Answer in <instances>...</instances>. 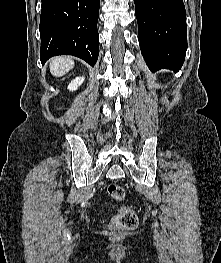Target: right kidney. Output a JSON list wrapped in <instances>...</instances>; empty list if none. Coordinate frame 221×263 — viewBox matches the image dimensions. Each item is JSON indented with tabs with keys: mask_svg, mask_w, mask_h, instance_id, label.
<instances>
[{
	"mask_svg": "<svg viewBox=\"0 0 221 263\" xmlns=\"http://www.w3.org/2000/svg\"><path fill=\"white\" fill-rule=\"evenodd\" d=\"M85 78L82 77H76L74 80L71 81V83L68 85V89L70 91H75L78 89V87L84 82Z\"/></svg>",
	"mask_w": 221,
	"mask_h": 263,
	"instance_id": "obj_1",
	"label": "right kidney"
}]
</instances>
